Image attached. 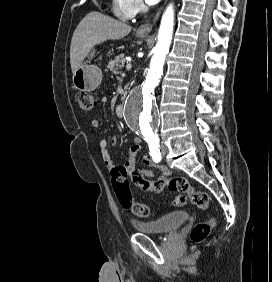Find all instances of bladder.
Segmentation results:
<instances>
[{"instance_id": "1", "label": "bladder", "mask_w": 272, "mask_h": 282, "mask_svg": "<svg viewBox=\"0 0 272 282\" xmlns=\"http://www.w3.org/2000/svg\"><path fill=\"white\" fill-rule=\"evenodd\" d=\"M188 219L186 211H176L153 221L133 220L138 232L144 234H162L175 231Z\"/></svg>"}]
</instances>
